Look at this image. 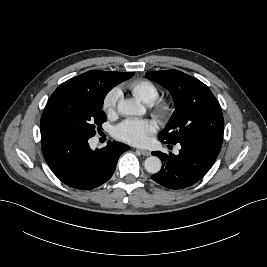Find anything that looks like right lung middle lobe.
Masks as SVG:
<instances>
[{"instance_id":"dd1d6c3e","label":"right lung middle lobe","mask_w":267,"mask_h":267,"mask_svg":"<svg viewBox=\"0 0 267 267\" xmlns=\"http://www.w3.org/2000/svg\"><path fill=\"white\" fill-rule=\"evenodd\" d=\"M127 73L112 85H96L85 89L58 87L49 98L41 117V126H51L91 138L106 121L103 100L110 89L131 78Z\"/></svg>"}]
</instances>
